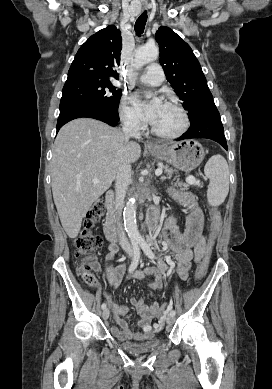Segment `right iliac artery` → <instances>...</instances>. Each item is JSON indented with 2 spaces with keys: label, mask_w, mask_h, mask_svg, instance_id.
Segmentation results:
<instances>
[{
  "label": "right iliac artery",
  "mask_w": 272,
  "mask_h": 389,
  "mask_svg": "<svg viewBox=\"0 0 272 389\" xmlns=\"http://www.w3.org/2000/svg\"><path fill=\"white\" fill-rule=\"evenodd\" d=\"M133 251H134V256L133 260L129 266V273H132L138 266L139 260H140V248L138 245V242H133ZM107 305L105 303L102 304L101 308L104 310L106 309Z\"/></svg>",
  "instance_id": "1"
}]
</instances>
